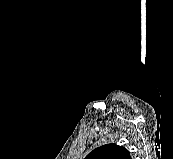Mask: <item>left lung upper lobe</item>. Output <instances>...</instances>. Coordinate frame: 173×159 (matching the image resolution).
Instances as JSON below:
<instances>
[{
    "mask_svg": "<svg viewBox=\"0 0 173 159\" xmlns=\"http://www.w3.org/2000/svg\"><path fill=\"white\" fill-rule=\"evenodd\" d=\"M85 159H131V156L127 149L112 143L96 148Z\"/></svg>",
    "mask_w": 173,
    "mask_h": 159,
    "instance_id": "obj_1",
    "label": "left lung upper lobe"
}]
</instances>
